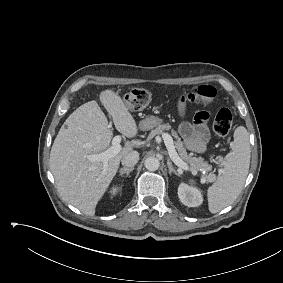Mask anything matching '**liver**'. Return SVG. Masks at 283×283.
I'll use <instances>...</instances> for the list:
<instances>
[{
	"mask_svg": "<svg viewBox=\"0 0 283 283\" xmlns=\"http://www.w3.org/2000/svg\"><path fill=\"white\" fill-rule=\"evenodd\" d=\"M99 99L119 132L128 138L138 134L134 117L117 93L107 89ZM112 137L105 114L96 101H89L66 119L51 148L50 169L62 199L88 216L95 214L122 157L133 151V146L126 144L107 163L87 159L90 154L106 150Z\"/></svg>",
	"mask_w": 283,
	"mask_h": 283,
	"instance_id": "1",
	"label": "liver"
}]
</instances>
